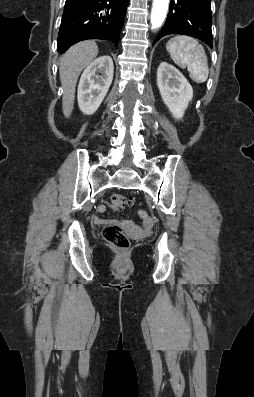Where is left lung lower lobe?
<instances>
[{
	"label": "left lung lower lobe",
	"mask_w": 254,
	"mask_h": 397,
	"mask_svg": "<svg viewBox=\"0 0 254 397\" xmlns=\"http://www.w3.org/2000/svg\"><path fill=\"white\" fill-rule=\"evenodd\" d=\"M210 0H171L168 17L155 42L172 34L196 37L212 48Z\"/></svg>",
	"instance_id": "0a47b994"
}]
</instances>
